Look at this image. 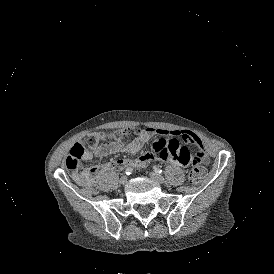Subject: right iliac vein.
Listing matches in <instances>:
<instances>
[{"label": "right iliac vein", "mask_w": 274, "mask_h": 274, "mask_svg": "<svg viewBox=\"0 0 274 274\" xmlns=\"http://www.w3.org/2000/svg\"><path fill=\"white\" fill-rule=\"evenodd\" d=\"M127 182V177L126 176H122L119 180L120 184H125Z\"/></svg>", "instance_id": "obj_1"}]
</instances>
